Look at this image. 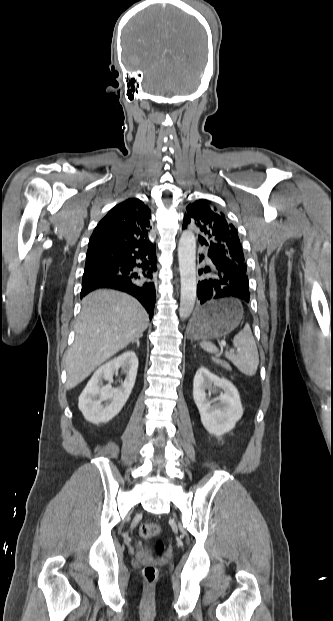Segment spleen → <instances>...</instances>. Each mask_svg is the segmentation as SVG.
<instances>
[{
	"instance_id": "3e777b00",
	"label": "spleen",
	"mask_w": 333,
	"mask_h": 621,
	"mask_svg": "<svg viewBox=\"0 0 333 621\" xmlns=\"http://www.w3.org/2000/svg\"><path fill=\"white\" fill-rule=\"evenodd\" d=\"M200 346L207 352L218 353L217 347L209 341L201 342ZM233 346L237 348L238 354L226 352V358L243 374L247 376L255 375L259 365V354L248 324L234 337Z\"/></svg>"
}]
</instances>
